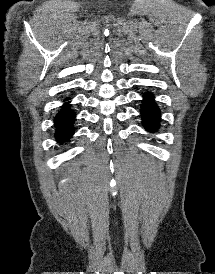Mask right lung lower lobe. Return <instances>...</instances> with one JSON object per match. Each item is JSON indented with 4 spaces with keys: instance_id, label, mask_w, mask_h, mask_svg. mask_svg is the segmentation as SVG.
Instances as JSON below:
<instances>
[{
    "instance_id": "obj_1",
    "label": "right lung lower lobe",
    "mask_w": 215,
    "mask_h": 274,
    "mask_svg": "<svg viewBox=\"0 0 215 274\" xmlns=\"http://www.w3.org/2000/svg\"><path fill=\"white\" fill-rule=\"evenodd\" d=\"M75 119L74 112L69 108V104L66 103L62 106L61 111L55 117L56 133L55 138L58 142L64 143L74 133L73 122Z\"/></svg>"
}]
</instances>
